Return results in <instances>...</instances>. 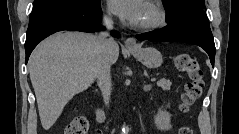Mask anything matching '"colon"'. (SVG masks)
<instances>
[{"mask_svg": "<svg viewBox=\"0 0 239 134\" xmlns=\"http://www.w3.org/2000/svg\"><path fill=\"white\" fill-rule=\"evenodd\" d=\"M175 64L180 71L189 76L180 101V110L187 112L203 93L205 85L203 72L197 60L188 54H178L175 57ZM88 130V120L84 116H77L66 126L63 134H87ZM179 134H192V129L182 126L179 128Z\"/></svg>", "mask_w": 239, "mask_h": 134, "instance_id": "colon-1", "label": "colon"}]
</instances>
